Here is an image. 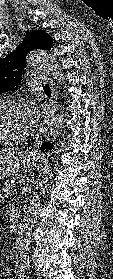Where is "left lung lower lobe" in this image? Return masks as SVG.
I'll list each match as a JSON object with an SVG mask.
<instances>
[{"label": "left lung lower lobe", "mask_w": 113, "mask_h": 279, "mask_svg": "<svg viewBox=\"0 0 113 279\" xmlns=\"http://www.w3.org/2000/svg\"><path fill=\"white\" fill-rule=\"evenodd\" d=\"M53 145L48 143V142H44L42 145H41V149L42 150H45V149H48L49 147H52Z\"/></svg>", "instance_id": "1"}]
</instances>
